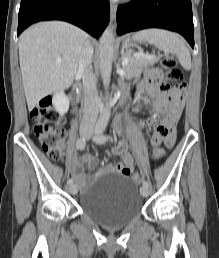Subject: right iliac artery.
Here are the masks:
<instances>
[{
  "mask_svg": "<svg viewBox=\"0 0 219 258\" xmlns=\"http://www.w3.org/2000/svg\"><path fill=\"white\" fill-rule=\"evenodd\" d=\"M86 145V138L85 137H80L77 141H76V146L79 150H83L85 148ZM67 183L69 185L73 184V179L70 178L68 179Z\"/></svg>",
  "mask_w": 219,
  "mask_h": 258,
  "instance_id": "1",
  "label": "right iliac artery"
}]
</instances>
